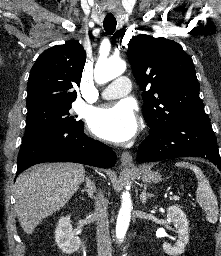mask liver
Returning <instances> with one entry per match:
<instances>
[{"label":"liver","instance_id":"obj_1","mask_svg":"<svg viewBox=\"0 0 221 256\" xmlns=\"http://www.w3.org/2000/svg\"><path fill=\"white\" fill-rule=\"evenodd\" d=\"M85 169L76 163H45L21 173L15 183L16 213L27 234L61 209L83 182Z\"/></svg>","mask_w":221,"mask_h":256}]
</instances>
